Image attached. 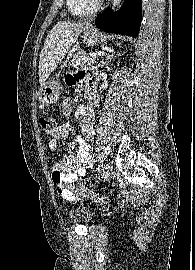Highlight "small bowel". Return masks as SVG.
Wrapping results in <instances>:
<instances>
[{
	"mask_svg": "<svg viewBox=\"0 0 195 270\" xmlns=\"http://www.w3.org/2000/svg\"><path fill=\"white\" fill-rule=\"evenodd\" d=\"M92 75L86 72H71L66 76V83L73 86L79 82H91ZM98 98L94 92L87 94V102L75 110V116L80 124L82 134L71 143L69 151L62 161L52 168V180L56 184L58 194L68 201H77L81 197L74 192V183L87 176L88 169L94 163V156L90 144L94 138L93 120ZM62 113L65 118L50 132L52 139L49 142L51 151H56L61 140L66 139L70 133L69 118L73 113V103L66 98L62 103Z\"/></svg>",
	"mask_w": 195,
	"mask_h": 270,
	"instance_id": "c3829d8e",
	"label": "small bowel"
}]
</instances>
